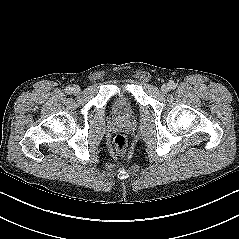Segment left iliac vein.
Here are the masks:
<instances>
[{
	"mask_svg": "<svg viewBox=\"0 0 239 239\" xmlns=\"http://www.w3.org/2000/svg\"><path fill=\"white\" fill-rule=\"evenodd\" d=\"M161 91L163 93H167L169 91V86L167 84L162 85Z\"/></svg>",
	"mask_w": 239,
	"mask_h": 239,
	"instance_id": "obj_1",
	"label": "left iliac vein"
}]
</instances>
